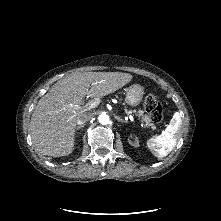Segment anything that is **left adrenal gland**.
I'll use <instances>...</instances> for the list:
<instances>
[{"label":"left adrenal gland","mask_w":221,"mask_h":221,"mask_svg":"<svg viewBox=\"0 0 221 221\" xmlns=\"http://www.w3.org/2000/svg\"><path fill=\"white\" fill-rule=\"evenodd\" d=\"M117 120L120 121V122H127V121H125L124 119H122L120 117H117Z\"/></svg>","instance_id":"left-adrenal-gland-1"}]
</instances>
